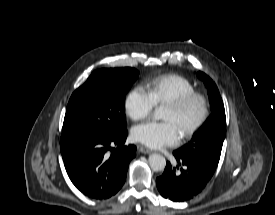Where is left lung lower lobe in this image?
Returning <instances> with one entry per match:
<instances>
[{"label": "left lung lower lobe", "mask_w": 275, "mask_h": 215, "mask_svg": "<svg viewBox=\"0 0 275 215\" xmlns=\"http://www.w3.org/2000/svg\"><path fill=\"white\" fill-rule=\"evenodd\" d=\"M178 165L167 162L163 174L156 179L160 194L175 202L192 199L199 194L213 176L216 167L193 158L179 156L174 151Z\"/></svg>", "instance_id": "0a47b994"}]
</instances>
